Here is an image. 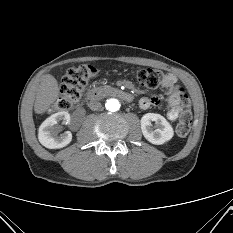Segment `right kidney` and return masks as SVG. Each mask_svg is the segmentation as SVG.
I'll return each instance as SVG.
<instances>
[{"instance_id": "right-kidney-1", "label": "right kidney", "mask_w": 233, "mask_h": 233, "mask_svg": "<svg viewBox=\"0 0 233 233\" xmlns=\"http://www.w3.org/2000/svg\"><path fill=\"white\" fill-rule=\"evenodd\" d=\"M70 124V114L65 111L57 112L48 117L39 127L38 139L40 143L49 149H59L67 146L72 140L70 131L58 135L61 126L58 124Z\"/></svg>"}]
</instances>
